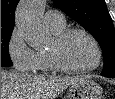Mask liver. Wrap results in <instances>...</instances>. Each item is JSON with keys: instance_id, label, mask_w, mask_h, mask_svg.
<instances>
[{"instance_id": "liver-1", "label": "liver", "mask_w": 115, "mask_h": 99, "mask_svg": "<svg viewBox=\"0 0 115 99\" xmlns=\"http://www.w3.org/2000/svg\"><path fill=\"white\" fill-rule=\"evenodd\" d=\"M82 77L42 76L1 70V99H55Z\"/></svg>"}]
</instances>
